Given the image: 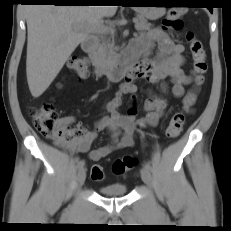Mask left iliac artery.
Here are the masks:
<instances>
[{
	"mask_svg": "<svg viewBox=\"0 0 231 231\" xmlns=\"http://www.w3.org/2000/svg\"><path fill=\"white\" fill-rule=\"evenodd\" d=\"M144 167L148 168L149 170L152 169L150 163L148 162L144 163Z\"/></svg>",
	"mask_w": 231,
	"mask_h": 231,
	"instance_id": "44dca946",
	"label": "left iliac artery"
}]
</instances>
